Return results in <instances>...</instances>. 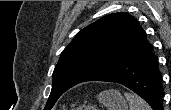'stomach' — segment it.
Wrapping results in <instances>:
<instances>
[{
    "label": "stomach",
    "instance_id": "obj_1",
    "mask_svg": "<svg viewBox=\"0 0 171 110\" xmlns=\"http://www.w3.org/2000/svg\"><path fill=\"white\" fill-rule=\"evenodd\" d=\"M98 99L107 110H128L126 100L117 90H106L99 94Z\"/></svg>",
    "mask_w": 171,
    "mask_h": 110
}]
</instances>
